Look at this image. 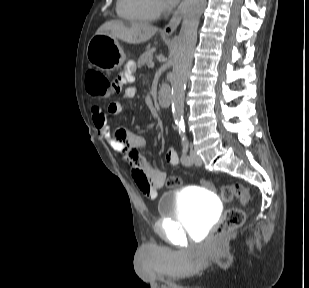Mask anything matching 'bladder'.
<instances>
[{
	"label": "bladder",
	"instance_id": "obj_1",
	"mask_svg": "<svg viewBox=\"0 0 309 288\" xmlns=\"http://www.w3.org/2000/svg\"><path fill=\"white\" fill-rule=\"evenodd\" d=\"M157 210L160 218H175L188 232L202 234L219 214L220 202L203 188L174 189L158 198Z\"/></svg>",
	"mask_w": 309,
	"mask_h": 288
}]
</instances>
